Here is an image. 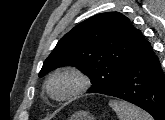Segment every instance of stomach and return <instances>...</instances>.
<instances>
[{"label":"stomach","instance_id":"stomach-1","mask_svg":"<svg viewBox=\"0 0 165 120\" xmlns=\"http://www.w3.org/2000/svg\"><path fill=\"white\" fill-rule=\"evenodd\" d=\"M69 120H95V118L87 111H79L73 114Z\"/></svg>","mask_w":165,"mask_h":120}]
</instances>
